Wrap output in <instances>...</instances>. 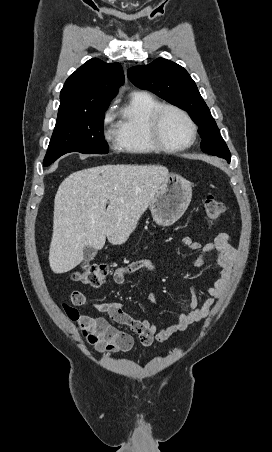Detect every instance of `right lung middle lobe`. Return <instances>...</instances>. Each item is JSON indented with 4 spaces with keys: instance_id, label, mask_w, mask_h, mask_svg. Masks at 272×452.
Segmentation results:
<instances>
[{
    "instance_id": "obj_1",
    "label": "right lung middle lobe",
    "mask_w": 272,
    "mask_h": 452,
    "mask_svg": "<svg viewBox=\"0 0 272 452\" xmlns=\"http://www.w3.org/2000/svg\"><path fill=\"white\" fill-rule=\"evenodd\" d=\"M107 108L58 117L44 159V166H49L60 156L69 152L108 153V144L103 134L104 112Z\"/></svg>"
}]
</instances>
